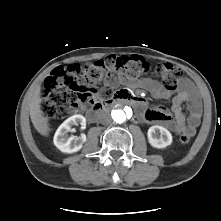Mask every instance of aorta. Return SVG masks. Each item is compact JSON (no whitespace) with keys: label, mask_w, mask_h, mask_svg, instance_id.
<instances>
[{"label":"aorta","mask_w":221,"mask_h":221,"mask_svg":"<svg viewBox=\"0 0 221 221\" xmlns=\"http://www.w3.org/2000/svg\"><path fill=\"white\" fill-rule=\"evenodd\" d=\"M132 110L130 108H125V109H117V110H113L111 115H112V119L116 122V123H123L125 122L128 117L130 116Z\"/></svg>","instance_id":"1"}]
</instances>
